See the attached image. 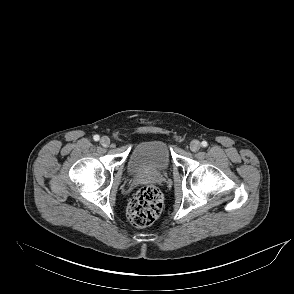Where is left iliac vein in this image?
Returning a JSON list of instances; mask_svg holds the SVG:
<instances>
[{
    "instance_id": "obj_1",
    "label": "left iliac vein",
    "mask_w": 294,
    "mask_h": 294,
    "mask_svg": "<svg viewBox=\"0 0 294 294\" xmlns=\"http://www.w3.org/2000/svg\"><path fill=\"white\" fill-rule=\"evenodd\" d=\"M200 147H201V145H200V142L198 140H193L190 143V149L193 152H197L200 149Z\"/></svg>"
}]
</instances>
